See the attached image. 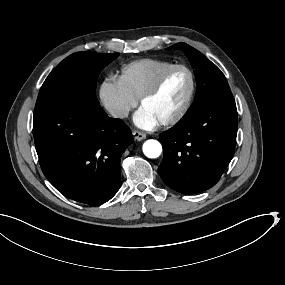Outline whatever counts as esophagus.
Here are the masks:
<instances>
[{
  "label": "esophagus",
  "instance_id": "1",
  "mask_svg": "<svg viewBox=\"0 0 285 285\" xmlns=\"http://www.w3.org/2000/svg\"><path fill=\"white\" fill-rule=\"evenodd\" d=\"M133 137L135 140L140 141V140H144L146 138V135L139 131H133Z\"/></svg>",
  "mask_w": 285,
  "mask_h": 285
}]
</instances>
